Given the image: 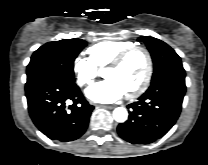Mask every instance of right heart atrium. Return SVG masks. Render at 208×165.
Instances as JSON below:
<instances>
[{
  "mask_svg": "<svg viewBox=\"0 0 208 165\" xmlns=\"http://www.w3.org/2000/svg\"><path fill=\"white\" fill-rule=\"evenodd\" d=\"M73 71L80 86L90 85L97 77V66L85 56H77L73 61Z\"/></svg>",
  "mask_w": 208,
  "mask_h": 165,
  "instance_id": "obj_1",
  "label": "right heart atrium"
}]
</instances>
